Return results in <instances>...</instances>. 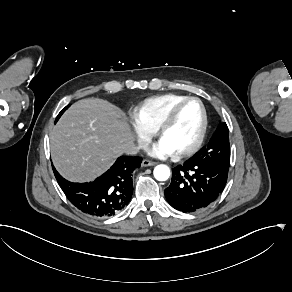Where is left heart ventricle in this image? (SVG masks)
<instances>
[{"label": "left heart ventricle", "instance_id": "b2bd125f", "mask_svg": "<svg viewBox=\"0 0 292 292\" xmlns=\"http://www.w3.org/2000/svg\"><path fill=\"white\" fill-rule=\"evenodd\" d=\"M200 123V108L196 102H188L178 111L166 129L163 140L175 150L187 147L194 140Z\"/></svg>", "mask_w": 292, "mask_h": 292}]
</instances>
